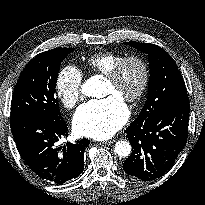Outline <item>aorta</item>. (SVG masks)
Listing matches in <instances>:
<instances>
[{"instance_id": "1", "label": "aorta", "mask_w": 205, "mask_h": 205, "mask_svg": "<svg viewBox=\"0 0 205 205\" xmlns=\"http://www.w3.org/2000/svg\"><path fill=\"white\" fill-rule=\"evenodd\" d=\"M101 89V82L92 77L82 85L81 92L85 96L97 97L101 94ZM114 150L119 157H128L131 154V145L127 141L120 140L116 142Z\"/></svg>"}]
</instances>
